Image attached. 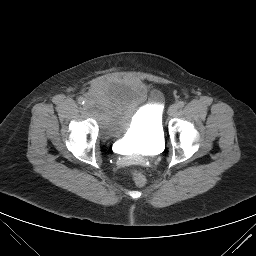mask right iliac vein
<instances>
[{
  "label": "right iliac vein",
  "instance_id": "right-iliac-vein-1",
  "mask_svg": "<svg viewBox=\"0 0 256 256\" xmlns=\"http://www.w3.org/2000/svg\"><path fill=\"white\" fill-rule=\"evenodd\" d=\"M90 105H91V102H90V101H87V102H85V103L83 104V107H84L85 109H88V108L90 107Z\"/></svg>",
  "mask_w": 256,
  "mask_h": 256
}]
</instances>
